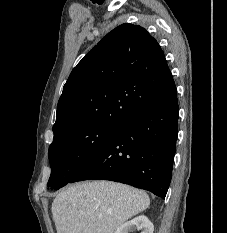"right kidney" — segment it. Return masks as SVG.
I'll use <instances>...</instances> for the list:
<instances>
[{"instance_id":"1","label":"right kidney","mask_w":227,"mask_h":233,"mask_svg":"<svg viewBox=\"0 0 227 233\" xmlns=\"http://www.w3.org/2000/svg\"><path fill=\"white\" fill-rule=\"evenodd\" d=\"M133 228L141 230V233H153L154 231L153 223L146 216L140 215L122 224L115 233H129Z\"/></svg>"}]
</instances>
